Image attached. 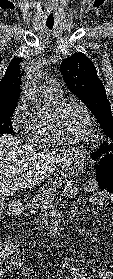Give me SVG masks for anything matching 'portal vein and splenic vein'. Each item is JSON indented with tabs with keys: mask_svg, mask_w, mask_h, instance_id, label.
I'll return each mask as SVG.
<instances>
[{
	"mask_svg": "<svg viewBox=\"0 0 113 279\" xmlns=\"http://www.w3.org/2000/svg\"><path fill=\"white\" fill-rule=\"evenodd\" d=\"M17 174L20 175V174H21V171H18ZM55 192H56V191H55Z\"/></svg>",
	"mask_w": 113,
	"mask_h": 279,
	"instance_id": "1",
	"label": "portal vein and splenic vein"
}]
</instances>
